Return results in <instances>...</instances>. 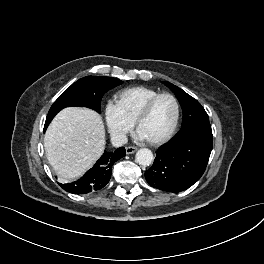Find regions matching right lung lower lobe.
I'll return each mask as SVG.
<instances>
[{"mask_svg": "<svg viewBox=\"0 0 264 264\" xmlns=\"http://www.w3.org/2000/svg\"><path fill=\"white\" fill-rule=\"evenodd\" d=\"M47 126L44 127V131ZM125 156V149L118 148L115 152H104L96 164L85 175L72 183L59 184L65 191L73 194H86L100 190L111 178L112 166L120 158Z\"/></svg>", "mask_w": 264, "mask_h": 264, "instance_id": "1", "label": "right lung lower lobe"}]
</instances>
